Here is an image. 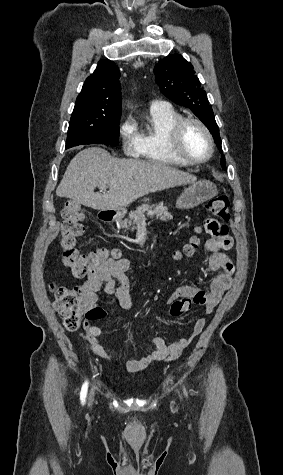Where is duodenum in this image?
Here are the masks:
<instances>
[{
  "mask_svg": "<svg viewBox=\"0 0 283 475\" xmlns=\"http://www.w3.org/2000/svg\"><path fill=\"white\" fill-rule=\"evenodd\" d=\"M114 217V213L112 211H104L102 214H101V219L103 221H111Z\"/></svg>",
  "mask_w": 283,
  "mask_h": 475,
  "instance_id": "410a0bca",
  "label": "duodenum"
}]
</instances>
